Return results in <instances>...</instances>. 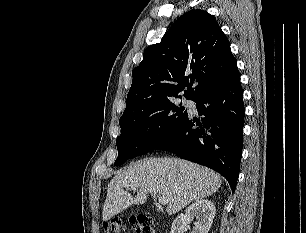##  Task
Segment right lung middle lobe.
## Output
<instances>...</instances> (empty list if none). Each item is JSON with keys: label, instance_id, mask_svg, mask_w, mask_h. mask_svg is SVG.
<instances>
[{"label": "right lung middle lobe", "instance_id": "obj_1", "mask_svg": "<svg viewBox=\"0 0 306 233\" xmlns=\"http://www.w3.org/2000/svg\"><path fill=\"white\" fill-rule=\"evenodd\" d=\"M187 117L185 108L173 104L171 99L121 116L115 165L155 149L174 134Z\"/></svg>", "mask_w": 306, "mask_h": 233}]
</instances>
